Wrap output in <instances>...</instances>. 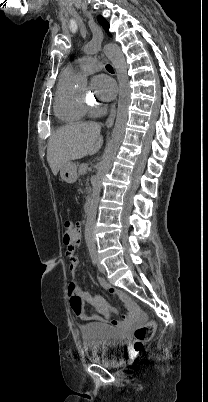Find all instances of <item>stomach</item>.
I'll list each match as a JSON object with an SVG mask.
<instances>
[{
	"instance_id": "obj_1",
	"label": "stomach",
	"mask_w": 208,
	"mask_h": 402,
	"mask_svg": "<svg viewBox=\"0 0 208 402\" xmlns=\"http://www.w3.org/2000/svg\"><path fill=\"white\" fill-rule=\"evenodd\" d=\"M60 176L67 184H74L77 180V166L74 162H67L60 168Z\"/></svg>"
}]
</instances>
